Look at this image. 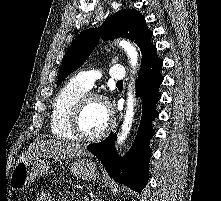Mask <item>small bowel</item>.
Here are the masks:
<instances>
[{
  "label": "small bowel",
  "mask_w": 221,
  "mask_h": 201,
  "mask_svg": "<svg viewBox=\"0 0 221 201\" xmlns=\"http://www.w3.org/2000/svg\"><path fill=\"white\" fill-rule=\"evenodd\" d=\"M35 201H54L52 196L49 193H39Z\"/></svg>",
  "instance_id": "1"
}]
</instances>
